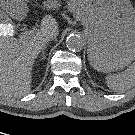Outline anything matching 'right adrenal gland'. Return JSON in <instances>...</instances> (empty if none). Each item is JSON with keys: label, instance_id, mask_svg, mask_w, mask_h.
<instances>
[{"label": "right adrenal gland", "instance_id": "2a0ac1e0", "mask_svg": "<svg viewBox=\"0 0 135 135\" xmlns=\"http://www.w3.org/2000/svg\"><path fill=\"white\" fill-rule=\"evenodd\" d=\"M46 47H47V44H45L44 47H43V49H42V53H41L42 59H45L46 58V56H45V49H46Z\"/></svg>", "mask_w": 135, "mask_h": 135}]
</instances>
